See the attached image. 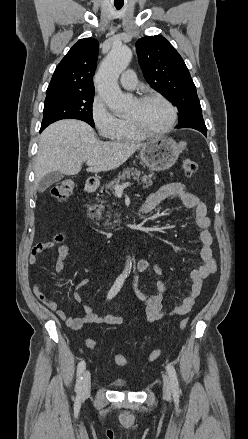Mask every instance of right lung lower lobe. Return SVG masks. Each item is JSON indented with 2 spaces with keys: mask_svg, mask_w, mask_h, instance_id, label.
Listing matches in <instances>:
<instances>
[{
  "mask_svg": "<svg viewBox=\"0 0 248 439\" xmlns=\"http://www.w3.org/2000/svg\"><path fill=\"white\" fill-rule=\"evenodd\" d=\"M45 128V126H41L40 132H42Z\"/></svg>",
  "mask_w": 248,
  "mask_h": 439,
  "instance_id": "obj_1",
  "label": "right lung lower lobe"
}]
</instances>
